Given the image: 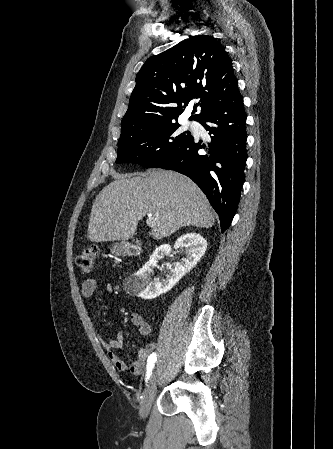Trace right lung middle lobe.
I'll use <instances>...</instances> for the list:
<instances>
[{"instance_id": "1", "label": "right lung middle lobe", "mask_w": 333, "mask_h": 449, "mask_svg": "<svg viewBox=\"0 0 333 449\" xmlns=\"http://www.w3.org/2000/svg\"><path fill=\"white\" fill-rule=\"evenodd\" d=\"M179 127L177 121H169L138 136L119 141L116 163L156 167L191 139V133L182 132Z\"/></svg>"}]
</instances>
